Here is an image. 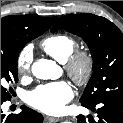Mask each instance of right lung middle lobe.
<instances>
[{"label": "right lung middle lobe", "instance_id": "dd1d6c3e", "mask_svg": "<svg viewBox=\"0 0 123 123\" xmlns=\"http://www.w3.org/2000/svg\"><path fill=\"white\" fill-rule=\"evenodd\" d=\"M44 31L24 33L11 41H1V101L11 99V88L8 85L18 82V54L26 43L43 34Z\"/></svg>", "mask_w": 123, "mask_h": 123}]
</instances>
